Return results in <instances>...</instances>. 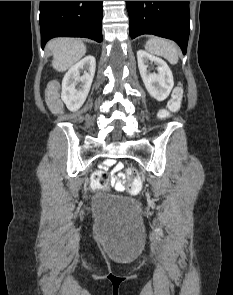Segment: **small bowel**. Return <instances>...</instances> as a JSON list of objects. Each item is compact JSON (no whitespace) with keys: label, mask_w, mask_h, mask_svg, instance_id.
<instances>
[{"label":"small bowel","mask_w":233,"mask_h":295,"mask_svg":"<svg viewBox=\"0 0 233 295\" xmlns=\"http://www.w3.org/2000/svg\"><path fill=\"white\" fill-rule=\"evenodd\" d=\"M112 167L113 177H112V185L117 189L118 191H123L124 186L121 183V179L124 178L123 170V164L120 162H116L114 160H107L104 163V168H110Z\"/></svg>","instance_id":"c3829d8e"}]
</instances>
